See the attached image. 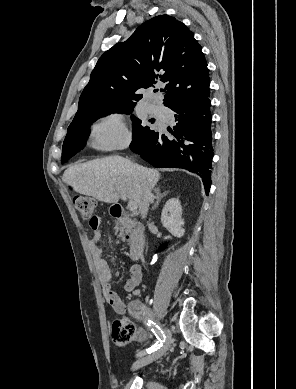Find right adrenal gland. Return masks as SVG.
<instances>
[{
    "instance_id": "2a0ac1e0",
    "label": "right adrenal gland",
    "mask_w": 296,
    "mask_h": 389,
    "mask_svg": "<svg viewBox=\"0 0 296 389\" xmlns=\"http://www.w3.org/2000/svg\"><path fill=\"white\" fill-rule=\"evenodd\" d=\"M168 193H169V191H165L164 193H161L159 188L155 189L156 202H155L154 206L152 207V210H155L159 206L162 198L165 197Z\"/></svg>"
}]
</instances>
